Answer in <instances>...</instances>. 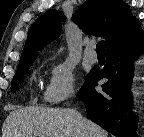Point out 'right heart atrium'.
Wrapping results in <instances>:
<instances>
[{
  "label": "right heart atrium",
  "mask_w": 144,
  "mask_h": 137,
  "mask_svg": "<svg viewBox=\"0 0 144 137\" xmlns=\"http://www.w3.org/2000/svg\"><path fill=\"white\" fill-rule=\"evenodd\" d=\"M75 72L72 66L62 61L52 66L47 84L43 90V100L58 104L74 94Z\"/></svg>",
  "instance_id": "d8ad5b80"
}]
</instances>
